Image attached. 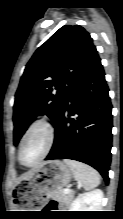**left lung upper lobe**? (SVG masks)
I'll list each match as a JSON object with an SVG mask.
<instances>
[{"instance_id":"obj_1","label":"left lung upper lobe","mask_w":123,"mask_h":219,"mask_svg":"<svg viewBox=\"0 0 123 219\" xmlns=\"http://www.w3.org/2000/svg\"><path fill=\"white\" fill-rule=\"evenodd\" d=\"M97 56L92 38L79 25H64L36 50L15 94V145L37 115L46 114L56 124L76 79Z\"/></svg>"}]
</instances>
